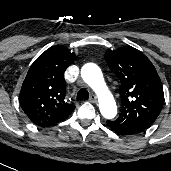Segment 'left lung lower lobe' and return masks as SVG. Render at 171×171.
<instances>
[{
    "instance_id": "0a47b994",
    "label": "left lung lower lobe",
    "mask_w": 171,
    "mask_h": 171,
    "mask_svg": "<svg viewBox=\"0 0 171 171\" xmlns=\"http://www.w3.org/2000/svg\"><path fill=\"white\" fill-rule=\"evenodd\" d=\"M107 124L120 135H132L136 133L143 132L146 130L152 123L147 122H128L121 125H114L113 121L107 120Z\"/></svg>"
}]
</instances>
